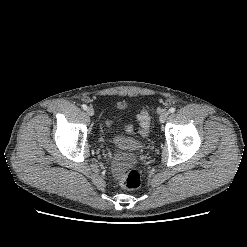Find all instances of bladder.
Segmentation results:
<instances>
[{"instance_id":"1","label":"bladder","mask_w":247,"mask_h":247,"mask_svg":"<svg viewBox=\"0 0 247 247\" xmlns=\"http://www.w3.org/2000/svg\"><path fill=\"white\" fill-rule=\"evenodd\" d=\"M113 142L121 149L128 151H139L144 147V144L132 137L117 135L113 137Z\"/></svg>"}]
</instances>
